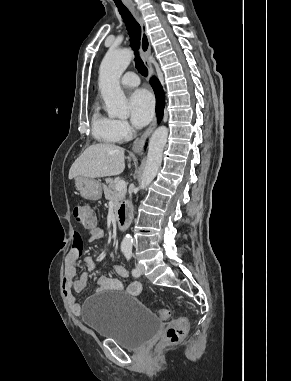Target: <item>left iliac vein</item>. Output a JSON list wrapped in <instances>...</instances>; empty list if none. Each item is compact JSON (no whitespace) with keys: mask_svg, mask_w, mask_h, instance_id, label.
Masks as SVG:
<instances>
[{"mask_svg":"<svg viewBox=\"0 0 291 381\" xmlns=\"http://www.w3.org/2000/svg\"><path fill=\"white\" fill-rule=\"evenodd\" d=\"M136 268H137V270H138L140 275L144 273L145 268H144V266L142 264H140V263L137 264Z\"/></svg>","mask_w":291,"mask_h":381,"instance_id":"1","label":"left iliac vein"}]
</instances>
